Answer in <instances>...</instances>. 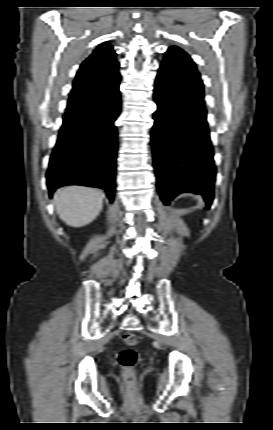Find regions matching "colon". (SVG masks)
I'll list each match as a JSON object with an SVG mask.
<instances>
[{
  "label": "colon",
  "instance_id": "obj_1",
  "mask_svg": "<svg viewBox=\"0 0 273 430\" xmlns=\"http://www.w3.org/2000/svg\"><path fill=\"white\" fill-rule=\"evenodd\" d=\"M123 342L129 346V348L123 349L118 357V363L120 365L122 375L125 383L128 387H131L135 380L134 368L138 360V353L136 350L131 348L135 346L139 339L138 337L130 332H126L122 335Z\"/></svg>",
  "mask_w": 273,
  "mask_h": 430
}]
</instances>
